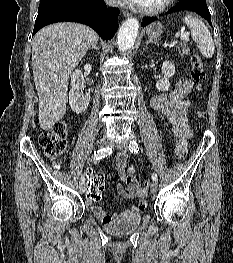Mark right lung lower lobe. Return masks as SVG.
Instances as JSON below:
<instances>
[{
    "mask_svg": "<svg viewBox=\"0 0 233 263\" xmlns=\"http://www.w3.org/2000/svg\"><path fill=\"white\" fill-rule=\"evenodd\" d=\"M119 9L106 8L104 0H79L74 9H56L37 16L33 35L55 22L73 21L93 28L104 40L113 38L118 28Z\"/></svg>",
    "mask_w": 233,
    "mask_h": 263,
    "instance_id": "1",
    "label": "right lung lower lobe"
}]
</instances>
